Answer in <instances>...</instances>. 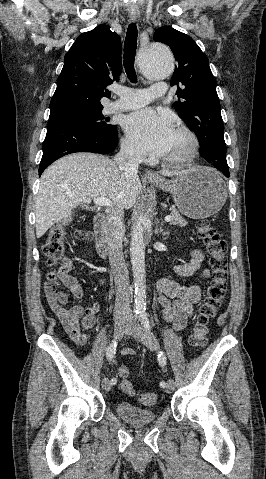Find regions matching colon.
Here are the masks:
<instances>
[{
  "label": "colon",
  "mask_w": 266,
  "mask_h": 479,
  "mask_svg": "<svg viewBox=\"0 0 266 479\" xmlns=\"http://www.w3.org/2000/svg\"><path fill=\"white\" fill-rule=\"evenodd\" d=\"M197 235L203 241L209 254L212 276L208 284L206 294L201 302L195 322L189 336V345L193 349L203 348L207 343L209 326L215 317L217 310L224 299L227 286V245L206 219H201L196 224ZM65 225L60 223L53 226L47 236L43 251L46 256V264L50 268L47 274V286L50 289L56 286L70 267L69 260L65 257ZM79 239H87L88 235L78 232ZM118 375L121 379L120 388L128 394H135L134 388L129 381V370L126 366L118 369ZM142 404L151 406L157 403L156 393L147 392L138 395Z\"/></svg>",
  "instance_id": "1"
}]
</instances>
